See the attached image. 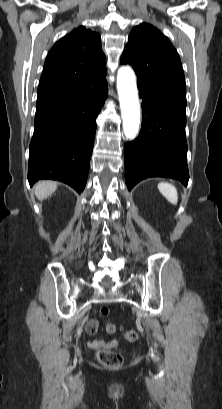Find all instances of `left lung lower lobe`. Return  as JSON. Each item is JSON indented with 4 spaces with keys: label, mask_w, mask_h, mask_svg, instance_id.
Returning a JSON list of instances; mask_svg holds the SVG:
<instances>
[{
    "label": "left lung lower lobe",
    "mask_w": 222,
    "mask_h": 409,
    "mask_svg": "<svg viewBox=\"0 0 222 409\" xmlns=\"http://www.w3.org/2000/svg\"><path fill=\"white\" fill-rule=\"evenodd\" d=\"M139 96L143 99L141 131L124 148L128 190L148 177H169L186 186V101H170L145 91H139Z\"/></svg>",
    "instance_id": "0a47b994"
}]
</instances>
